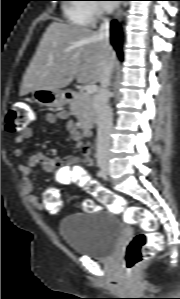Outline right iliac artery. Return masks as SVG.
I'll return each instance as SVG.
<instances>
[{
    "mask_svg": "<svg viewBox=\"0 0 180 299\" xmlns=\"http://www.w3.org/2000/svg\"><path fill=\"white\" fill-rule=\"evenodd\" d=\"M97 175H98V177H101V178L105 177V173L103 170L98 171Z\"/></svg>",
    "mask_w": 180,
    "mask_h": 299,
    "instance_id": "right-iliac-artery-1",
    "label": "right iliac artery"
}]
</instances>
